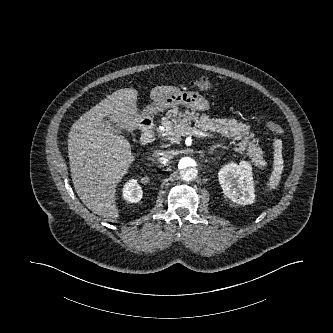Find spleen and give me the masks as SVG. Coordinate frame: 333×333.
<instances>
[{"label":"spleen","instance_id":"spleen-1","mask_svg":"<svg viewBox=\"0 0 333 333\" xmlns=\"http://www.w3.org/2000/svg\"><path fill=\"white\" fill-rule=\"evenodd\" d=\"M274 166L272 175L270 176V180L268 186L270 190L274 189L280 182L281 173L283 170V159H282V143L279 140H275L274 142Z\"/></svg>","mask_w":333,"mask_h":333}]
</instances>
